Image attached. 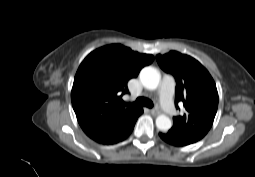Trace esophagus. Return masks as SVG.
<instances>
[{
  "mask_svg": "<svg viewBox=\"0 0 255 177\" xmlns=\"http://www.w3.org/2000/svg\"><path fill=\"white\" fill-rule=\"evenodd\" d=\"M150 112L154 116H157V115H159L161 113V111L158 108H154Z\"/></svg>",
  "mask_w": 255,
  "mask_h": 177,
  "instance_id": "obj_1",
  "label": "esophagus"
}]
</instances>
